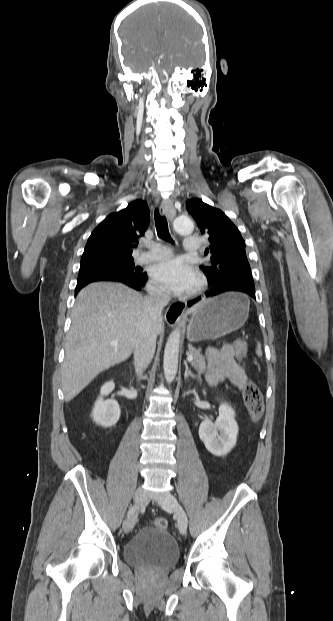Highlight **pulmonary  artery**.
Listing matches in <instances>:
<instances>
[{
    "label": "pulmonary artery",
    "mask_w": 333,
    "mask_h": 621,
    "mask_svg": "<svg viewBox=\"0 0 333 621\" xmlns=\"http://www.w3.org/2000/svg\"><path fill=\"white\" fill-rule=\"evenodd\" d=\"M150 250L147 252H142L138 258L137 262L144 263L149 261L160 260L169 256L170 251L160 245V244H152L149 246ZM201 248V240L195 236H188L185 239L184 249L189 253L197 252Z\"/></svg>",
    "instance_id": "e3ab8cb5"
}]
</instances>
